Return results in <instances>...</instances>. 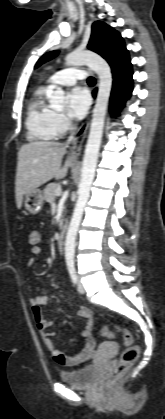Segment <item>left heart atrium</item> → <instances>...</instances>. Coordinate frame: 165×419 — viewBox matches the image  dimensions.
I'll return each mask as SVG.
<instances>
[{"label": "left heart atrium", "mask_w": 165, "mask_h": 419, "mask_svg": "<svg viewBox=\"0 0 165 419\" xmlns=\"http://www.w3.org/2000/svg\"><path fill=\"white\" fill-rule=\"evenodd\" d=\"M90 97L83 88H74L68 93V115L73 119H82L89 108Z\"/></svg>", "instance_id": "left-heart-atrium-1"}]
</instances>
